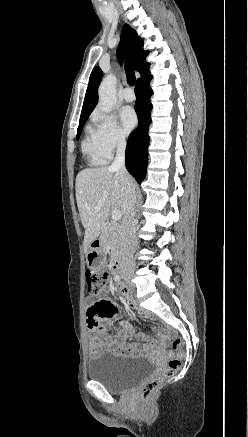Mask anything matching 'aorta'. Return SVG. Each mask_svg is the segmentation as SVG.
Returning <instances> with one entry per match:
<instances>
[{
	"label": "aorta",
	"instance_id": "762f6f07",
	"mask_svg": "<svg viewBox=\"0 0 248 437\" xmlns=\"http://www.w3.org/2000/svg\"><path fill=\"white\" fill-rule=\"evenodd\" d=\"M99 107L102 111L109 113L116 105V77L107 75L101 82L98 89Z\"/></svg>",
	"mask_w": 248,
	"mask_h": 437
}]
</instances>
